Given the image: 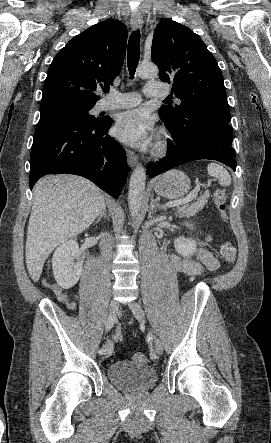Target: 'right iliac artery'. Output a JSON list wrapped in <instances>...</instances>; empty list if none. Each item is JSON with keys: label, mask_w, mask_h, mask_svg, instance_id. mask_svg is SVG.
<instances>
[{"label": "right iliac artery", "mask_w": 271, "mask_h": 443, "mask_svg": "<svg viewBox=\"0 0 271 443\" xmlns=\"http://www.w3.org/2000/svg\"><path fill=\"white\" fill-rule=\"evenodd\" d=\"M115 321H116V317H115V315H109V316H108V319H107V321H106V326H105L106 331H110V330H111V328L113 327ZM98 353H99L100 355H102V354L104 353V349H103V348H100V349L98 350Z\"/></svg>", "instance_id": "1"}]
</instances>
